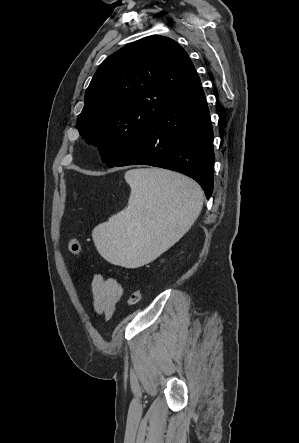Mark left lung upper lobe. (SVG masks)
Instances as JSON below:
<instances>
[{
	"label": "left lung upper lobe",
	"instance_id": "5c2ea615",
	"mask_svg": "<svg viewBox=\"0 0 299 443\" xmlns=\"http://www.w3.org/2000/svg\"><path fill=\"white\" fill-rule=\"evenodd\" d=\"M195 74L185 50L168 37L148 36L121 48L102 62L85 92L77 119L82 138L113 167Z\"/></svg>",
	"mask_w": 299,
	"mask_h": 443
}]
</instances>
